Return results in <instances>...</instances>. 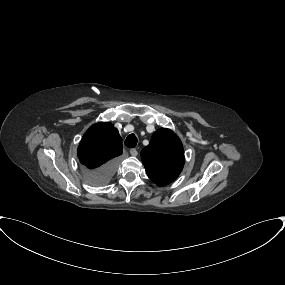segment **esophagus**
Wrapping results in <instances>:
<instances>
[{
  "instance_id": "1",
  "label": "esophagus",
  "mask_w": 285,
  "mask_h": 285,
  "mask_svg": "<svg viewBox=\"0 0 285 285\" xmlns=\"http://www.w3.org/2000/svg\"><path fill=\"white\" fill-rule=\"evenodd\" d=\"M130 154H131L132 156H136V155L138 154L137 149H135V148L131 149V150H130Z\"/></svg>"
}]
</instances>
